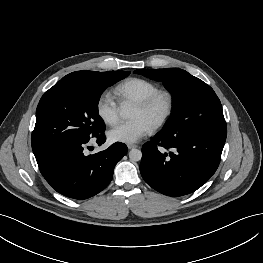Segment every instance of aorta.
I'll return each instance as SVG.
<instances>
[{
  "instance_id": "obj_1",
  "label": "aorta",
  "mask_w": 263,
  "mask_h": 263,
  "mask_svg": "<svg viewBox=\"0 0 263 263\" xmlns=\"http://www.w3.org/2000/svg\"><path fill=\"white\" fill-rule=\"evenodd\" d=\"M131 115V111L128 108L121 109L120 116L123 118H128ZM129 158L131 161H140L142 158V152L139 149H131L129 152Z\"/></svg>"
}]
</instances>
